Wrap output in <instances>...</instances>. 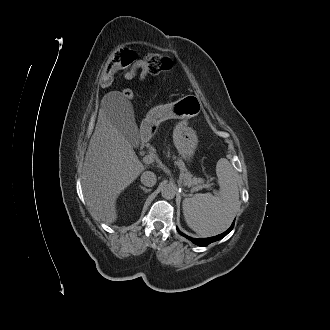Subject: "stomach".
<instances>
[{
  "label": "stomach",
  "mask_w": 330,
  "mask_h": 330,
  "mask_svg": "<svg viewBox=\"0 0 330 330\" xmlns=\"http://www.w3.org/2000/svg\"><path fill=\"white\" fill-rule=\"evenodd\" d=\"M202 110L203 105L200 99L192 94L181 97L163 110L168 118L181 120L174 128L173 142L183 159H191L198 142L196 132L191 127H188L187 120L196 117ZM156 114L158 113L153 115L150 124L151 129L152 126L157 125Z\"/></svg>",
  "instance_id": "stomach-1"
}]
</instances>
